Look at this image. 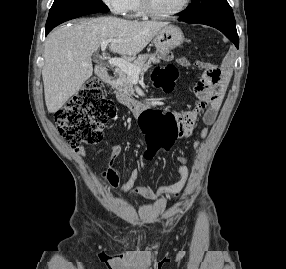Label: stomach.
<instances>
[{"label":"stomach","mask_w":286,"mask_h":269,"mask_svg":"<svg viewBox=\"0 0 286 269\" xmlns=\"http://www.w3.org/2000/svg\"><path fill=\"white\" fill-rule=\"evenodd\" d=\"M184 41L181 29L175 25L168 24L163 27L156 35L153 43L156 49H174Z\"/></svg>","instance_id":"stomach-1"}]
</instances>
